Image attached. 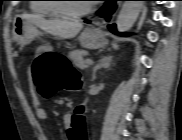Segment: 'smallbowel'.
Returning a JSON list of instances; mask_svg holds the SVG:
<instances>
[{"instance_id": "small-bowel-1", "label": "small bowel", "mask_w": 182, "mask_h": 140, "mask_svg": "<svg viewBox=\"0 0 182 140\" xmlns=\"http://www.w3.org/2000/svg\"><path fill=\"white\" fill-rule=\"evenodd\" d=\"M32 102L33 105L35 107V115L36 118L39 121H44L47 118V113L45 111V109L41 106L40 101L38 99V97L35 94H32ZM69 122H70V116L69 115H65L64 116V124L65 126L68 128L69 126ZM46 140H51L49 136L46 137Z\"/></svg>"}]
</instances>
